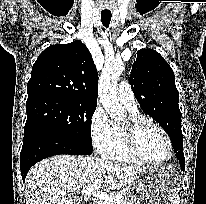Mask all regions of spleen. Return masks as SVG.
<instances>
[{
  "label": "spleen",
  "instance_id": "1",
  "mask_svg": "<svg viewBox=\"0 0 206 204\" xmlns=\"http://www.w3.org/2000/svg\"><path fill=\"white\" fill-rule=\"evenodd\" d=\"M170 204H179V197L178 196H174L171 199V203Z\"/></svg>",
  "mask_w": 206,
  "mask_h": 204
}]
</instances>
